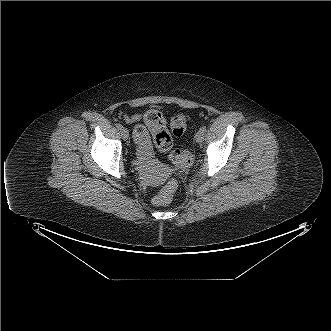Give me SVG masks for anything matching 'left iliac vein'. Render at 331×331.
Returning a JSON list of instances; mask_svg holds the SVG:
<instances>
[{
  "label": "left iliac vein",
  "instance_id": "left-iliac-vein-1",
  "mask_svg": "<svg viewBox=\"0 0 331 331\" xmlns=\"http://www.w3.org/2000/svg\"><path fill=\"white\" fill-rule=\"evenodd\" d=\"M195 140L199 144L203 142V140H204V133L201 130L197 131V133L195 135Z\"/></svg>",
  "mask_w": 331,
  "mask_h": 331
}]
</instances>
